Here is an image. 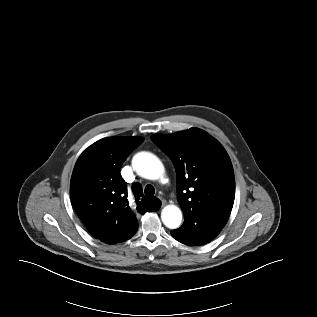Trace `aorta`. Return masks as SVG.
<instances>
[{
    "label": "aorta",
    "mask_w": 317,
    "mask_h": 317,
    "mask_svg": "<svg viewBox=\"0 0 317 317\" xmlns=\"http://www.w3.org/2000/svg\"><path fill=\"white\" fill-rule=\"evenodd\" d=\"M134 170L142 177L156 180L163 174V165L159 158L149 152H140L132 160ZM161 219L163 224L176 229L182 221V213L176 205H167L162 209Z\"/></svg>",
    "instance_id": "1"
}]
</instances>
